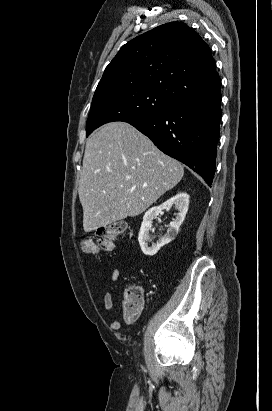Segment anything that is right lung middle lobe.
<instances>
[{
	"mask_svg": "<svg viewBox=\"0 0 272 411\" xmlns=\"http://www.w3.org/2000/svg\"><path fill=\"white\" fill-rule=\"evenodd\" d=\"M176 102V96L171 92L152 88H129L96 93L87 120L86 136L105 123H131L148 118Z\"/></svg>",
	"mask_w": 272,
	"mask_h": 411,
	"instance_id": "1",
	"label": "right lung middle lobe"
}]
</instances>
